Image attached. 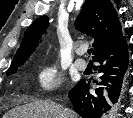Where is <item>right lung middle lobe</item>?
Wrapping results in <instances>:
<instances>
[{"mask_svg":"<svg viewBox=\"0 0 133 118\" xmlns=\"http://www.w3.org/2000/svg\"><path fill=\"white\" fill-rule=\"evenodd\" d=\"M19 65H21V64H16V65L10 67V68L8 69V71H7L6 74H7V75H10V74L15 73V72L17 71V67H18Z\"/></svg>","mask_w":133,"mask_h":118,"instance_id":"dd1d6c3e","label":"right lung middle lobe"}]
</instances>
